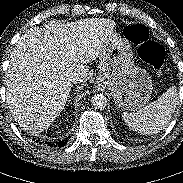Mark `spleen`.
Listing matches in <instances>:
<instances>
[{
  "mask_svg": "<svg viewBox=\"0 0 183 183\" xmlns=\"http://www.w3.org/2000/svg\"><path fill=\"white\" fill-rule=\"evenodd\" d=\"M177 87L172 86L157 100L136 113L123 112V119L130 129L143 135L157 134L165 129L175 111Z\"/></svg>",
  "mask_w": 183,
  "mask_h": 183,
  "instance_id": "1",
  "label": "spleen"
}]
</instances>
